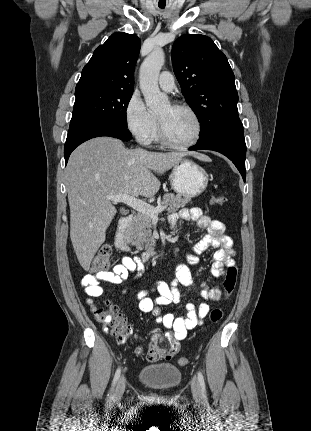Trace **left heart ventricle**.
Wrapping results in <instances>:
<instances>
[{
    "label": "left heart ventricle",
    "mask_w": 311,
    "mask_h": 431,
    "mask_svg": "<svg viewBox=\"0 0 311 431\" xmlns=\"http://www.w3.org/2000/svg\"><path fill=\"white\" fill-rule=\"evenodd\" d=\"M157 117L162 120L167 137L174 142L188 143L197 135V121L188 111L168 105L157 114Z\"/></svg>",
    "instance_id": "1"
}]
</instances>
